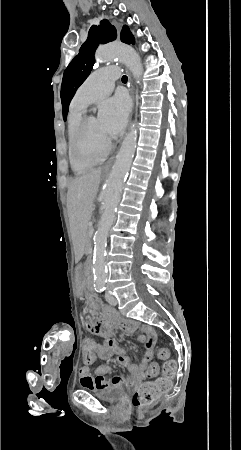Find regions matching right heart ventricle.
<instances>
[{
	"label": "right heart ventricle",
	"mask_w": 241,
	"mask_h": 450,
	"mask_svg": "<svg viewBox=\"0 0 241 450\" xmlns=\"http://www.w3.org/2000/svg\"><path fill=\"white\" fill-rule=\"evenodd\" d=\"M85 107L81 104L78 103H73L71 106V110L69 113V117H68V137H69V154H70V159L71 162L73 164V166L77 169H82V168H86L88 167L87 165H84L83 162H75V150L70 148V145L73 144L70 141L71 136L75 135L73 133V127L75 125V123L83 116ZM107 126H110V124H106ZM99 160V158H94V162L96 163Z\"/></svg>",
	"instance_id": "1"
}]
</instances>
